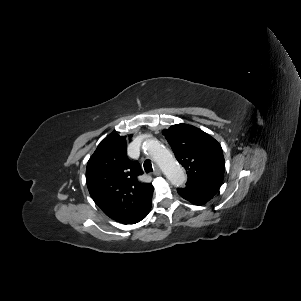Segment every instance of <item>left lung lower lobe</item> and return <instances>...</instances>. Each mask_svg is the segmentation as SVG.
Wrapping results in <instances>:
<instances>
[{"label": "left lung lower lobe", "instance_id": "0a47b994", "mask_svg": "<svg viewBox=\"0 0 301 301\" xmlns=\"http://www.w3.org/2000/svg\"><path fill=\"white\" fill-rule=\"evenodd\" d=\"M177 192L181 197L195 205H204L215 195V193L210 191L197 190L187 187L178 188Z\"/></svg>", "mask_w": 301, "mask_h": 301}]
</instances>
